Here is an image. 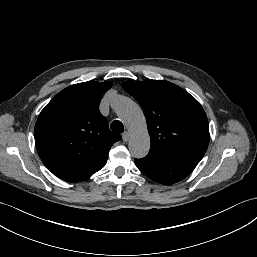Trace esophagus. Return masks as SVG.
<instances>
[{
    "label": "esophagus",
    "instance_id": "1",
    "mask_svg": "<svg viewBox=\"0 0 257 257\" xmlns=\"http://www.w3.org/2000/svg\"><path fill=\"white\" fill-rule=\"evenodd\" d=\"M128 139H129V134H128V132H124V133L122 134V140H123L124 142H127Z\"/></svg>",
    "mask_w": 257,
    "mask_h": 257
}]
</instances>
